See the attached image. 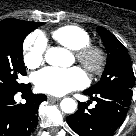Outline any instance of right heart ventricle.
Instances as JSON below:
<instances>
[{
	"mask_svg": "<svg viewBox=\"0 0 136 136\" xmlns=\"http://www.w3.org/2000/svg\"><path fill=\"white\" fill-rule=\"evenodd\" d=\"M52 37L56 42L71 50H77L92 42L88 31L78 25H65L55 29Z\"/></svg>",
	"mask_w": 136,
	"mask_h": 136,
	"instance_id": "obj_1",
	"label": "right heart ventricle"
}]
</instances>
